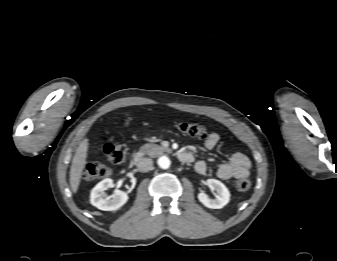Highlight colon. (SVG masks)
I'll return each instance as SVG.
<instances>
[{
    "label": "colon",
    "instance_id": "1",
    "mask_svg": "<svg viewBox=\"0 0 337 261\" xmlns=\"http://www.w3.org/2000/svg\"><path fill=\"white\" fill-rule=\"evenodd\" d=\"M176 128L182 134L198 139H206L209 134L204 126L195 123L180 122L176 124ZM104 154L109 163L119 164L126 158V147L120 143H107L104 146ZM110 174L111 170L105 164L98 161H90L84 169L83 177L92 181L108 177ZM250 186L251 182L247 178H240L234 182L235 189L241 192L249 190Z\"/></svg>",
    "mask_w": 337,
    "mask_h": 261
}]
</instances>
